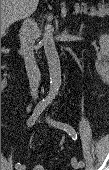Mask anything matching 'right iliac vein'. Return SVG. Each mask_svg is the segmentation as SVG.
Returning <instances> with one entry per match:
<instances>
[{"label": "right iliac vein", "mask_w": 109, "mask_h": 170, "mask_svg": "<svg viewBox=\"0 0 109 170\" xmlns=\"http://www.w3.org/2000/svg\"><path fill=\"white\" fill-rule=\"evenodd\" d=\"M17 170H25V165H21L18 168H16Z\"/></svg>", "instance_id": "right-iliac-vein-1"}]
</instances>
